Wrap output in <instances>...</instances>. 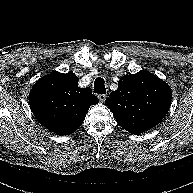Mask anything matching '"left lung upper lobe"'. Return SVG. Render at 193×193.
<instances>
[{
	"label": "left lung upper lobe",
	"mask_w": 193,
	"mask_h": 193,
	"mask_svg": "<svg viewBox=\"0 0 193 193\" xmlns=\"http://www.w3.org/2000/svg\"><path fill=\"white\" fill-rule=\"evenodd\" d=\"M172 99L168 84L147 71L124 75L105 104L118 124L132 134L155 127L167 114Z\"/></svg>",
	"instance_id": "5c2ea615"
}]
</instances>
